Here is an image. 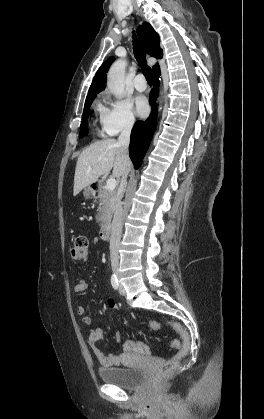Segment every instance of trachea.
<instances>
[{
    "mask_svg": "<svg viewBox=\"0 0 264 419\" xmlns=\"http://www.w3.org/2000/svg\"><path fill=\"white\" fill-rule=\"evenodd\" d=\"M133 51H134V55L135 58L139 64V66L141 67V70L148 82V84H152V74H151V69L150 67H148L146 65V56L145 53L140 45V43L138 42L136 35L133 34Z\"/></svg>",
    "mask_w": 264,
    "mask_h": 419,
    "instance_id": "obj_1",
    "label": "trachea"
}]
</instances>
